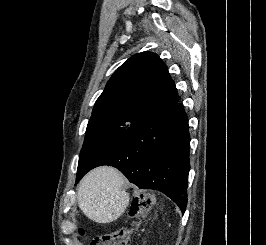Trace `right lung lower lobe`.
I'll return each instance as SVG.
<instances>
[{"label":"right lung lower lobe","instance_id":"98d812e1","mask_svg":"<svg viewBox=\"0 0 266 245\" xmlns=\"http://www.w3.org/2000/svg\"><path fill=\"white\" fill-rule=\"evenodd\" d=\"M190 135L188 117L177 102L143 118L115 145L98 156L76 179L91 169L110 165L140 189L158 190L185 212Z\"/></svg>","mask_w":266,"mask_h":245}]
</instances>
